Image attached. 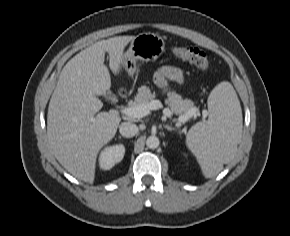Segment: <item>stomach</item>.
Returning <instances> with one entry per match:
<instances>
[{
  "mask_svg": "<svg viewBox=\"0 0 290 236\" xmlns=\"http://www.w3.org/2000/svg\"><path fill=\"white\" fill-rule=\"evenodd\" d=\"M165 50V42L157 34L140 33L130 43L128 50L124 53L122 67L129 75H134L137 70V61H154L159 58Z\"/></svg>",
  "mask_w": 290,
  "mask_h": 236,
  "instance_id": "obj_1",
  "label": "stomach"
}]
</instances>
